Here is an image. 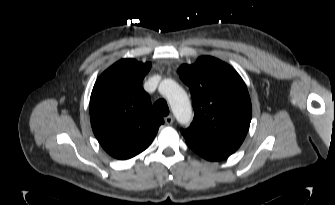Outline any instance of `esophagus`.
<instances>
[{
	"instance_id": "1",
	"label": "esophagus",
	"mask_w": 335,
	"mask_h": 205,
	"mask_svg": "<svg viewBox=\"0 0 335 205\" xmlns=\"http://www.w3.org/2000/svg\"><path fill=\"white\" fill-rule=\"evenodd\" d=\"M164 120L167 125H171L174 122V117L172 115H168L164 118Z\"/></svg>"
}]
</instances>
